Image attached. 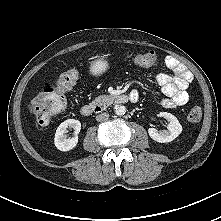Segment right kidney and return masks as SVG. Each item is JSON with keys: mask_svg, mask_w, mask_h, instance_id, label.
Wrapping results in <instances>:
<instances>
[{"mask_svg": "<svg viewBox=\"0 0 221 221\" xmlns=\"http://www.w3.org/2000/svg\"><path fill=\"white\" fill-rule=\"evenodd\" d=\"M68 128L74 129L75 136L67 138L66 133ZM80 130L81 123L78 120L68 119L62 122L57 128L54 138L55 146L57 149L64 152L73 149L78 143L77 135Z\"/></svg>", "mask_w": 221, "mask_h": 221, "instance_id": "ca27d5eb", "label": "right kidney"}]
</instances>
